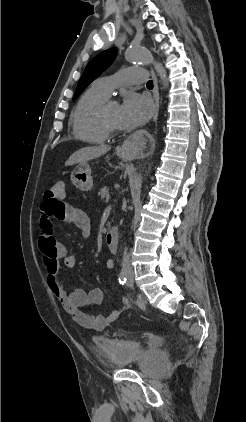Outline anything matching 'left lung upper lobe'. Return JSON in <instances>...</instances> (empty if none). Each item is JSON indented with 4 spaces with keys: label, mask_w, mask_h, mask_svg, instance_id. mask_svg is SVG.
<instances>
[{
    "label": "left lung upper lobe",
    "mask_w": 246,
    "mask_h": 422,
    "mask_svg": "<svg viewBox=\"0 0 246 422\" xmlns=\"http://www.w3.org/2000/svg\"><path fill=\"white\" fill-rule=\"evenodd\" d=\"M116 55L117 49L111 48L101 52L88 63L81 79L78 82L73 100L77 99L84 89L87 88L93 80L99 77L107 67H109V65L114 61Z\"/></svg>",
    "instance_id": "5c2ea615"
}]
</instances>
